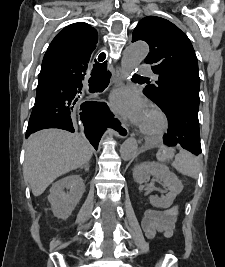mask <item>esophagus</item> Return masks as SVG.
<instances>
[{"label": "esophagus", "instance_id": "34e87169", "mask_svg": "<svg viewBox=\"0 0 225 267\" xmlns=\"http://www.w3.org/2000/svg\"><path fill=\"white\" fill-rule=\"evenodd\" d=\"M113 83L115 86H121L123 84V77H122V72L120 69H117L116 71L113 72ZM115 117L118 122L117 130H116L117 136L121 138L127 137L129 135V131L127 127L117 115H115Z\"/></svg>", "mask_w": 225, "mask_h": 267}]
</instances>
